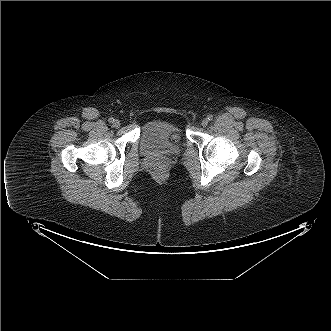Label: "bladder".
I'll list each match as a JSON object with an SVG mask.
<instances>
[{
    "mask_svg": "<svg viewBox=\"0 0 331 331\" xmlns=\"http://www.w3.org/2000/svg\"><path fill=\"white\" fill-rule=\"evenodd\" d=\"M184 139L178 125L170 120L147 123L139 137L140 152L147 157H169L178 154Z\"/></svg>",
    "mask_w": 331,
    "mask_h": 331,
    "instance_id": "31cf9c89",
    "label": "bladder"
}]
</instances>
